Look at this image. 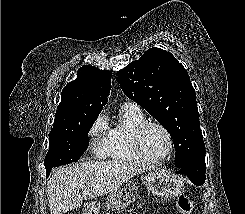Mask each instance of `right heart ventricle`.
<instances>
[{
    "mask_svg": "<svg viewBox=\"0 0 245 214\" xmlns=\"http://www.w3.org/2000/svg\"><path fill=\"white\" fill-rule=\"evenodd\" d=\"M146 121L140 107L126 102L121 105L119 119L111 125L106 139V156L114 161L140 163L131 145L133 129Z\"/></svg>",
    "mask_w": 245,
    "mask_h": 214,
    "instance_id": "right-heart-ventricle-1",
    "label": "right heart ventricle"
}]
</instances>
